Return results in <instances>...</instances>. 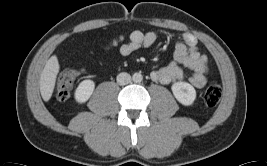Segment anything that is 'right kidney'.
<instances>
[{"label": "right kidney", "mask_w": 267, "mask_h": 166, "mask_svg": "<svg viewBox=\"0 0 267 166\" xmlns=\"http://www.w3.org/2000/svg\"><path fill=\"white\" fill-rule=\"evenodd\" d=\"M95 83L92 80H83L75 91V100L78 103L86 102L92 95Z\"/></svg>", "instance_id": "right-kidney-1"}]
</instances>
